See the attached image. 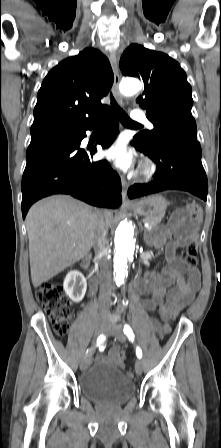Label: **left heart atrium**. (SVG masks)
Listing matches in <instances>:
<instances>
[{
    "mask_svg": "<svg viewBox=\"0 0 221 448\" xmlns=\"http://www.w3.org/2000/svg\"><path fill=\"white\" fill-rule=\"evenodd\" d=\"M105 155L123 172L130 171L134 168V155L123 142H116L113 144L106 150Z\"/></svg>",
    "mask_w": 221,
    "mask_h": 448,
    "instance_id": "obj_1",
    "label": "left heart atrium"
}]
</instances>
